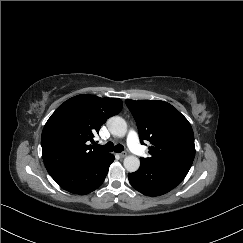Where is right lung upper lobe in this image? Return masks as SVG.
<instances>
[{"mask_svg":"<svg viewBox=\"0 0 243 243\" xmlns=\"http://www.w3.org/2000/svg\"><path fill=\"white\" fill-rule=\"evenodd\" d=\"M119 98L82 94L61 104L42 132V156L51 176L79 169L107 152L92 149L89 142L106 120L118 114Z\"/></svg>","mask_w":243,"mask_h":243,"instance_id":"cb5924a9","label":"right lung upper lobe"}]
</instances>
